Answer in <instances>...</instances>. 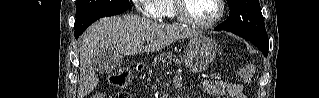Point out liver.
I'll use <instances>...</instances> for the list:
<instances>
[{
    "mask_svg": "<svg viewBox=\"0 0 319 98\" xmlns=\"http://www.w3.org/2000/svg\"><path fill=\"white\" fill-rule=\"evenodd\" d=\"M196 30L156 24L138 15L124 14L102 18L92 24L79 40L80 80L78 98H85L97 86L94 59L102 51L110 50L123 55L162 50L170 43L200 35ZM148 39L150 45L143 46Z\"/></svg>",
    "mask_w": 319,
    "mask_h": 98,
    "instance_id": "liver-1",
    "label": "liver"
}]
</instances>
